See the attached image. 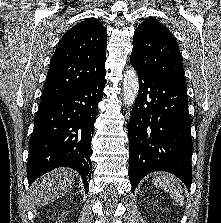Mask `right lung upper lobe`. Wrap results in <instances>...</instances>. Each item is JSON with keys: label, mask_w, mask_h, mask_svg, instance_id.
Instances as JSON below:
<instances>
[{"label": "right lung upper lobe", "mask_w": 221, "mask_h": 223, "mask_svg": "<svg viewBox=\"0 0 221 223\" xmlns=\"http://www.w3.org/2000/svg\"><path fill=\"white\" fill-rule=\"evenodd\" d=\"M107 32L86 19L67 31L52 57L41 99L72 90L105 73Z\"/></svg>", "instance_id": "obj_1"}]
</instances>
